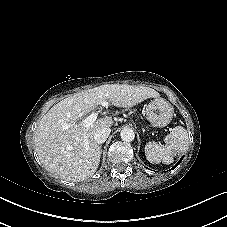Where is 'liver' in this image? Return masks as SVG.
<instances>
[{
  "label": "liver",
  "instance_id": "obj_1",
  "mask_svg": "<svg viewBox=\"0 0 227 227\" xmlns=\"http://www.w3.org/2000/svg\"><path fill=\"white\" fill-rule=\"evenodd\" d=\"M159 97L150 87L104 85L73 94L54 105L40 120L34 132V144L44 168L69 182L83 181L98 169L101 147L94 140L98 129L113 125L111 117L97 119L89 127L83 117L103 103L130 108Z\"/></svg>",
  "mask_w": 227,
  "mask_h": 227
}]
</instances>
